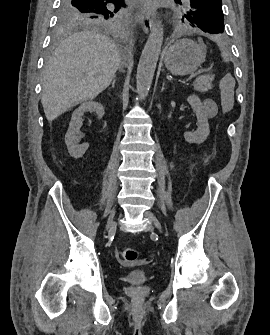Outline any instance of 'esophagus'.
Masks as SVG:
<instances>
[{
    "label": "esophagus",
    "instance_id": "34e87169",
    "mask_svg": "<svg viewBox=\"0 0 270 335\" xmlns=\"http://www.w3.org/2000/svg\"><path fill=\"white\" fill-rule=\"evenodd\" d=\"M143 8L140 13V21L142 29L145 33H149L153 26L155 17V3L157 0H141Z\"/></svg>",
    "mask_w": 270,
    "mask_h": 335
}]
</instances>
